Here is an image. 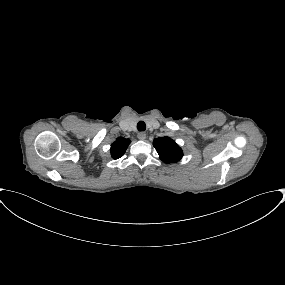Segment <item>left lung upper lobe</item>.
Here are the masks:
<instances>
[{
  "label": "left lung upper lobe",
  "mask_w": 285,
  "mask_h": 285,
  "mask_svg": "<svg viewBox=\"0 0 285 285\" xmlns=\"http://www.w3.org/2000/svg\"><path fill=\"white\" fill-rule=\"evenodd\" d=\"M153 146L165 163H175L183 156L182 149L167 136L154 139Z\"/></svg>",
  "instance_id": "left-lung-upper-lobe-1"
}]
</instances>
